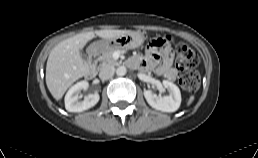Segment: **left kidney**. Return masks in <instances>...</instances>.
<instances>
[{"instance_id": "5707ae66", "label": "left kidney", "mask_w": 258, "mask_h": 158, "mask_svg": "<svg viewBox=\"0 0 258 158\" xmlns=\"http://www.w3.org/2000/svg\"><path fill=\"white\" fill-rule=\"evenodd\" d=\"M163 86L169 91L168 96H157L151 90L144 91L147 103L156 110L163 112H175L181 104V93L179 88L168 80H163Z\"/></svg>"}]
</instances>
